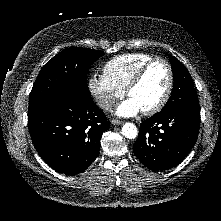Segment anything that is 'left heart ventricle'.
<instances>
[{"instance_id":"obj_1","label":"left heart ventricle","mask_w":221,"mask_h":221,"mask_svg":"<svg viewBox=\"0 0 221 221\" xmlns=\"http://www.w3.org/2000/svg\"><path fill=\"white\" fill-rule=\"evenodd\" d=\"M168 81V73L165 65L161 62L153 63L141 82L131 91L129 98L132 99L140 110L154 106L162 97Z\"/></svg>"}]
</instances>
